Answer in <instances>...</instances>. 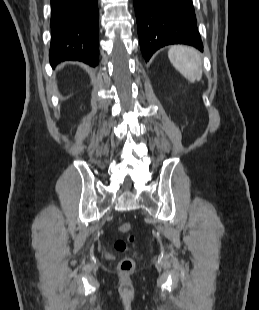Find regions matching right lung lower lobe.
Segmentation results:
<instances>
[{
  "instance_id": "obj_1",
  "label": "right lung lower lobe",
  "mask_w": 259,
  "mask_h": 310,
  "mask_svg": "<svg viewBox=\"0 0 259 310\" xmlns=\"http://www.w3.org/2000/svg\"><path fill=\"white\" fill-rule=\"evenodd\" d=\"M98 0H51L52 66L66 60L98 65Z\"/></svg>"
}]
</instances>
